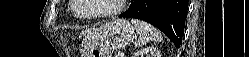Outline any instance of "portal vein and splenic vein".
<instances>
[{"label": "portal vein and splenic vein", "instance_id": "portal-vein-and-splenic-vein-1", "mask_svg": "<svg viewBox=\"0 0 249 57\" xmlns=\"http://www.w3.org/2000/svg\"><path fill=\"white\" fill-rule=\"evenodd\" d=\"M120 57H124V54H121Z\"/></svg>", "mask_w": 249, "mask_h": 57}]
</instances>
